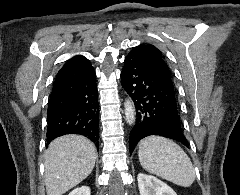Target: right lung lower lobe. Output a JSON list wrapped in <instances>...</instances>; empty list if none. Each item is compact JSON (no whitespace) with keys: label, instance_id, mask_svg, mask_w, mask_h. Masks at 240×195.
Here are the masks:
<instances>
[{"label":"right lung lower lobe","instance_id":"98d812e1","mask_svg":"<svg viewBox=\"0 0 240 195\" xmlns=\"http://www.w3.org/2000/svg\"><path fill=\"white\" fill-rule=\"evenodd\" d=\"M47 122V146L56 137L80 134L98 147L99 105L94 69L80 78L54 81Z\"/></svg>","mask_w":240,"mask_h":195}]
</instances>
